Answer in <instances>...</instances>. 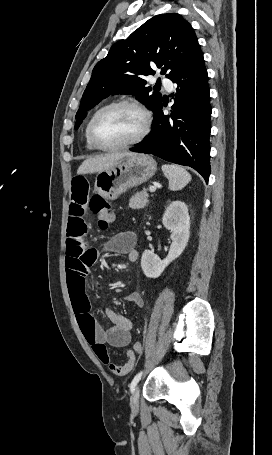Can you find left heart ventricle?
Here are the masks:
<instances>
[{"instance_id":"left-heart-ventricle-1","label":"left heart ventricle","mask_w":272,"mask_h":455,"mask_svg":"<svg viewBox=\"0 0 272 455\" xmlns=\"http://www.w3.org/2000/svg\"><path fill=\"white\" fill-rule=\"evenodd\" d=\"M142 128L140 113L130 106H117L104 111L97 119L94 132L104 145H117L138 135Z\"/></svg>"}]
</instances>
